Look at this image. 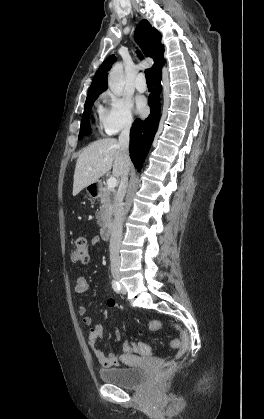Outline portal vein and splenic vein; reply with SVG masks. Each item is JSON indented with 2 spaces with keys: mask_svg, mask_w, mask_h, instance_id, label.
<instances>
[{
  "mask_svg": "<svg viewBox=\"0 0 264 419\" xmlns=\"http://www.w3.org/2000/svg\"><path fill=\"white\" fill-rule=\"evenodd\" d=\"M117 186V179L115 177H111L107 180V187L108 189H114Z\"/></svg>",
  "mask_w": 264,
  "mask_h": 419,
  "instance_id": "obj_1",
  "label": "portal vein and splenic vein"
}]
</instances>
